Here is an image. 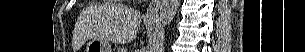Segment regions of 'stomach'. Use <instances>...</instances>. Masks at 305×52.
<instances>
[{
    "label": "stomach",
    "mask_w": 305,
    "mask_h": 52,
    "mask_svg": "<svg viewBox=\"0 0 305 52\" xmlns=\"http://www.w3.org/2000/svg\"><path fill=\"white\" fill-rule=\"evenodd\" d=\"M85 52H112L109 43L100 39H89L86 43Z\"/></svg>",
    "instance_id": "obj_1"
}]
</instances>
